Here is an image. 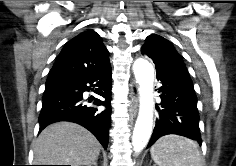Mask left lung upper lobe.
Returning a JSON list of instances; mask_svg holds the SVG:
<instances>
[{
	"mask_svg": "<svg viewBox=\"0 0 236 166\" xmlns=\"http://www.w3.org/2000/svg\"><path fill=\"white\" fill-rule=\"evenodd\" d=\"M141 53L153 60L156 71L172 66H185L173 44L157 34H151L146 38V42L141 48Z\"/></svg>",
	"mask_w": 236,
	"mask_h": 166,
	"instance_id": "obj_1",
	"label": "left lung upper lobe"
}]
</instances>
